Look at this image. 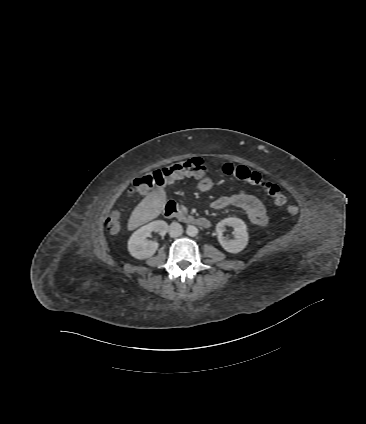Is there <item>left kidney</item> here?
<instances>
[{"label":"left kidney","instance_id":"1","mask_svg":"<svg viewBox=\"0 0 366 424\" xmlns=\"http://www.w3.org/2000/svg\"><path fill=\"white\" fill-rule=\"evenodd\" d=\"M226 226L234 229V239L228 240L223 237ZM217 237L220 245L230 253H238L242 251L248 244L249 235L247 226L243 220L239 218H225L216 225Z\"/></svg>","mask_w":366,"mask_h":424}]
</instances>
